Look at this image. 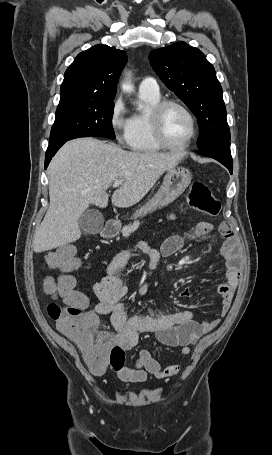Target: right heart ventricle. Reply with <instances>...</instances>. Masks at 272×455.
<instances>
[{"label": "right heart ventricle", "mask_w": 272, "mask_h": 455, "mask_svg": "<svg viewBox=\"0 0 272 455\" xmlns=\"http://www.w3.org/2000/svg\"><path fill=\"white\" fill-rule=\"evenodd\" d=\"M140 99L147 108L133 114L129 121V134L127 144L132 151L140 153H154L161 150L152 135L150 126V112L160 101V94L140 93Z\"/></svg>", "instance_id": "1"}]
</instances>
